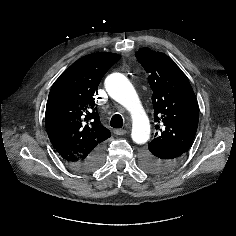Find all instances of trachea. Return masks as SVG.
<instances>
[{
  "instance_id": "obj_1",
  "label": "trachea",
  "mask_w": 236,
  "mask_h": 236,
  "mask_svg": "<svg viewBox=\"0 0 236 236\" xmlns=\"http://www.w3.org/2000/svg\"><path fill=\"white\" fill-rule=\"evenodd\" d=\"M110 125L113 128H122L123 118L119 114H115L110 121Z\"/></svg>"
}]
</instances>
